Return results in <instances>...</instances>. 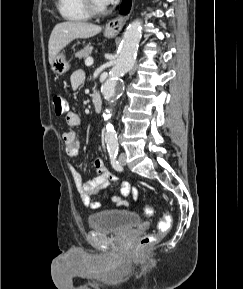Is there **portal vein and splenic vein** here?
I'll return each instance as SVG.
<instances>
[{"label":"portal vein and splenic vein","mask_w":243,"mask_h":289,"mask_svg":"<svg viewBox=\"0 0 243 289\" xmlns=\"http://www.w3.org/2000/svg\"><path fill=\"white\" fill-rule=\"evenodd\" d=\"M93 64V58L92 57H88L86 60H85V65L86 66H91Z\"/></svg>","instance_id":"portal-vein-and-splenic-vein-1"}]
</instances>
